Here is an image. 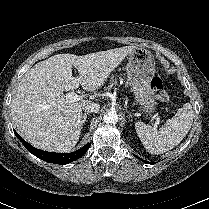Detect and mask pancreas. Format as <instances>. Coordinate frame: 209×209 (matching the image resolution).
<instances>
[{
	"label": "pancreas",
	"instance_id": "cf45deb5",
	"mask_svg": "<svg viewBox=\"0 0 209 209\" xmlns=\"http://www.w3.org/2000/svg\"><path fill=\"white\" fill-rule=\"evenodd\" d=\"M116 83H117V79L114 78V76H112L109 81V85L107 87H105V90H110L113 87V85Z\"/></svg>",
	"mask_w": 209,
	"mask_h": 209
}]
</instances>
